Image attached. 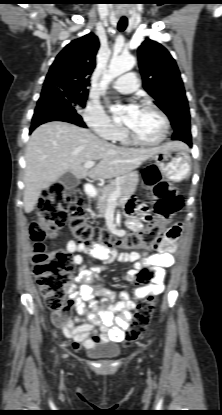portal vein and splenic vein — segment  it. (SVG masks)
<instances>
[{
    "mask_svg": "<svg viewBox=\"0 0 222 415\" xmlns=\"http://www.w3.org/2000/svg\"><path fill=\"white\" fill-rule=\"evenodd\" d=\"M95 164H96V162H95V161H88V162L84 163L83 167H84V168H86V169H89V168L93 167ZM118 195H119V189H118V190H116L115 192H113V193L110 195V197H109V203H110V204H115V203H116V200H117Z\"/></svg>",
    "mask_w": 222,
    "mask_h": 415,
    "instance_id": "18ae733b",
    "label": "portal vein and splenic vein"
}]
</instances>
